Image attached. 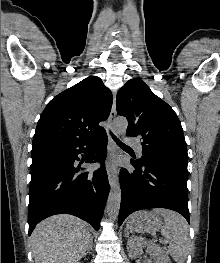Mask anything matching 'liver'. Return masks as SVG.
I'll return each instance as SVG.
<instances>
[{"instance_id": "6515ba94", "label": "liver", "mask_w": 220, "mask_h": 263, "mask_svg": "<svg viewBox=\"0 0 220 263\" xmlns=\"http://www.w3.org/2000/svg\"><path fill=\"white\" fill-rule=\"evenodd\" d=\"M91 239L87 222L68 214L51 216L31 235L35 263H75L86 254Z\"/></svg>"}]
</instances>
